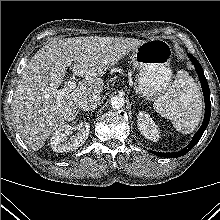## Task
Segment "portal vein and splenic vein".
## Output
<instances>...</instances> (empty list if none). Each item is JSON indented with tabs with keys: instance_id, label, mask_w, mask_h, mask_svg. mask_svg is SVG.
<instances>
[{
	"instance_id": "18ae733b",
	"label": "portal vein and splenic vein",
	"mask_w": 220,
	"mask_h": 220,
	"mask_svg": "<svg viewBox=\"0 0 220 220\" xmlns=\"http://www.w3.org/2000/svg\"><path fill=\"white\" fill-rule=\"evenodd\" d=\"M68 87L56 90L54 92V94H56L57 96V100H61L64 96H66L67 94H69L72 90H74L76 88V79L75 78H71L68 82H67Z\"/></svg>"
}]
</instances>
